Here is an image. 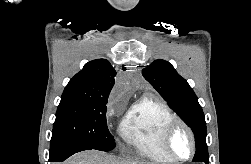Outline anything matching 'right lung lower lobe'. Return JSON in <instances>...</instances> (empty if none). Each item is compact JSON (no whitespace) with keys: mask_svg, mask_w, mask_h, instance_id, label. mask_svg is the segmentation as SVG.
Returning a JSON list of instances; mask_svg holds the SVG:
<instances>
[{"mask_svg":"<svg viewBox=\"0 0 251 164\" xmlns=\"http://www.w3.org/2000/svg\"><path fill=\"white\" fill-rule=\"evenodd\" d=\"M87 150L85 147L79 145H65L61 146L55 150L50 151L49 162H63L65 159L71 155Z\"/></svg>","mask_w":251,"mask_h":164,"instance_id":"right-lung-lower-lobe-1","label":"right lung lower lobe"}]
</instances>
